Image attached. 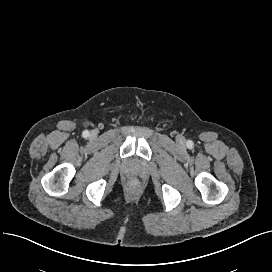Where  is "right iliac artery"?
<instances>
[{
    "mask_svg": "<svg viewBox=\"0 0 272 272\" xmlns=\"http://www.w3.org/2000/svg\"><path fill=\"white\" fill-rule=\"evenodd\" d=\"M89 136V132L87 131V130H85L84 132H83V137H88Z\"/></svg>",
    "mask_w": 272,
    "mask_h": 272,
    "instance_id": "right-iliac-artery-1",
    "label": "right iliac artery"
}]
</instances>
